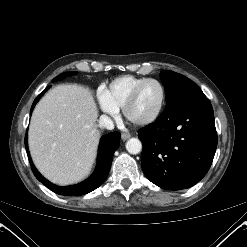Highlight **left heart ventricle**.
<instances>
[{
	"label": "left heart ventricle",
	"mask_w": 247,
	"mask_h": 247,
	"mask_svg": "<svg viewBox=\"0 0 247 247\" xmlns=\"http://www.w3.org/2000/svg\"><path fill=\"white\" fill-rule=\"evenodd\" d=\"M161 89L156 83H148L142 87L136 100L129 109L132 121H141L152 116L159 107Z\"/></svg>",
	"instance_id": "obj_1"
}]
</instances>
